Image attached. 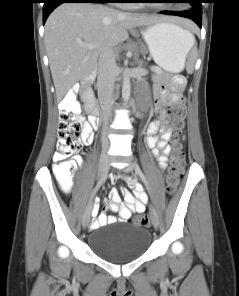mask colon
I'll return each instance as SVG.
<instances>
[{
    "label": "colon",
    "mask_w": 239,
    "mask_h": 296,
    "mask_svg": "<svg viewBox=\"0 0 239 296\" xmlns=\"http://www.w3.org/2000/svg\"><path fill=\"white\" fill-rule=\"evenodd\" d=\"M175 79L183 81V78ZM78 107L73 97H66L61 102L58 125L57 152L54 155V170L56 177L63 189H67L76 168L74 157L82 147V140L79 136L81 124L75 119ZM172 122L174 135L172 139L173 152L170 157L169 167L166 175V188L170 195H174L179 186L180 177L185 166V150L183 128L185 123L186 108L183 100L175 103L168 112ZM137 226H146L148 217L138 214L132 219Z\"/></svg>",
    "instance_id": "obj_1"
}]
</instances>
